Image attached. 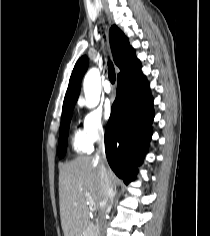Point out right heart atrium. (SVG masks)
Returning a JSON list of instances; mask_svg holds the SVG:
<instances>
[{"mask_svg": "<svg viewBox=\"0 0 210 236\" xmlns=\"http://www.w3.org/2000/svg\"><path fill=\"white\" fill-rule=\"evenodd\" d=\"M83 132L91 144L103 138L105 134V123L99 109L87 110L84 113Z\"/></svg>", "mask_w": 210, "mask_h": 236, "instance_id": "right-heart-atrium-1", "label": "right heart atrium"}]
</instances>
